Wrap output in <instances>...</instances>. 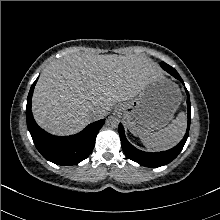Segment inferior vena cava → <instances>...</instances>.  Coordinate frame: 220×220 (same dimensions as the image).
I'll return each instance as SVG.
<instances>
[{
	"label": "inferior vena cava",
	"mask_w": 220,
	"mask_h": 220,
	"mask_svg": "<svg viewBox=\"0 0 220 220\" xmlns=\"http://www.w3.org/2000/svg\"><path fill=\"white\" fill-rule=\"evenodd\" d=\"M97 113H98V110H97V109H92V110H91V114H92V115H96Z\"/></svg>",
	"instance_id": "602c4592"
}]
</instances>
